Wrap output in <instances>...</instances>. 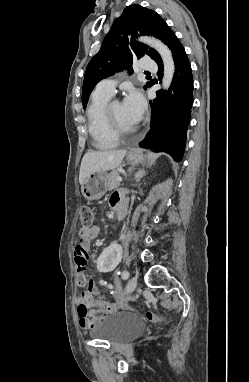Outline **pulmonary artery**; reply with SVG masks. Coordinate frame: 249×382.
<instances>
[{"label":"pulmonary artery","instance_id":"obj_1","mask_svg":"<svg viewBox=\"0 0 249 382\" xmlns=\"http://www.w3.org/2000/svg\"><path fill=\"white\" fill-rule=\"evenodd\" d=\"M140 68L143 70H156V64L148 58H143ZM116 81L113 78H107L100 81L96 86V91L112 96L114 94Z\"/></svg>","mask_w":249,"mask_h":382}]
</instances>
